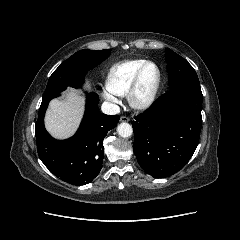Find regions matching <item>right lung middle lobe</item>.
<instances>
[{
    "label": "right lung middle lobe",
    "instance_id": "right-lung-middle-lobe-1",
    "mask_svg": "<svg viewBox=\"0 0 240 240\" xmlns=\"http://www.w3.org/2000/svg\"><path fill=\"white\" fill-rule=\"evenodd\" d=\"M110 54L109 49L80 50L65 60L50 76L43 99L65 90L67 86L80 87L87 70L92 69Z\"/></svg>",
    "mask_w": 240,
    "mask_h": 240
}]
</instances>
